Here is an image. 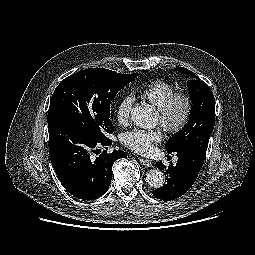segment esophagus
I'll return each instance as SVG.
<instances>
[{
	"mask_svg": "<svg viewBox=\"0 0 255 255\" xmlns=\"http://www.w3.org/2000/svg\"><path fill=\"white\" fill-rule=\"evenodd\" d=\"M140 163L146 167H152V162L148 159L140 158Z\"/></svg>",
	"mask_w": 255,
	"mask_h": 255,
	"instance_id": "34e87169",
	"label": "esophagus"
}]
</instances>
